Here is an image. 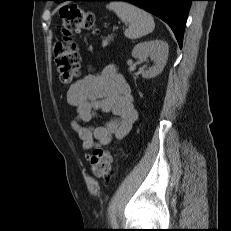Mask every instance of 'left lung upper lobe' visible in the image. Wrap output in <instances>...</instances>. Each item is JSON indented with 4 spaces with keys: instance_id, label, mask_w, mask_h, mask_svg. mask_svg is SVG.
<instances>
[{
    "instance_id": "1",
    "label": "left lung upper lobe",
    "mask_w": 231,
    "mask_h": 231,
    "mask_svg": "<svg viewBox=\"0 0 231 231\" xmlns=\"http://www.w3.org/2000/svg\"><path fill=\"white\" fill-rule=\"evenodd\" d=\"M53 1H56V2H62V0H53Z\"/></svg>"
}]
</instances>
